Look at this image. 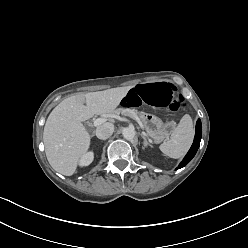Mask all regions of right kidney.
I'll use <instances>...</instances> for the list:
<instances>
[{"mask_svg": "<svg viewBox=\"0 0 248 248\" xmlns=\"http://www.w3.org/2000/svg\"><path fill=\"white\" fill-rule=\"evenodd\" d=\"M94 158L93 152L86 153L80 160V166H88Z\"/></svg>", "mask_w": 248, "mask_h": 248, "instance_id": "1", "label": "right kidney"}]
</instances>
